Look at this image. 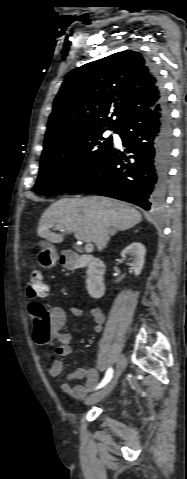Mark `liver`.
Instances as JSON below:
<instances>
[{
  "mask_svg": "<svg viewBox=\"0 0 187 479\" xmlns=\"http://www.w3.org/2000/svg\"><path fill=\"white\" fill-rule=\"evenodd\" d=\"M141 221L138 210L118 200L100 196L63 198L43 213L37 234L49 242L62 243L64 235L50 231L55 227L62 232H73L85 242H93L102 251L111 235Z\"/></svg>",
  "mask_w": 187,
  "mask_h": 479,
  "instance_id": "obj_1",
  "label": "liver"
}]
</instances>
